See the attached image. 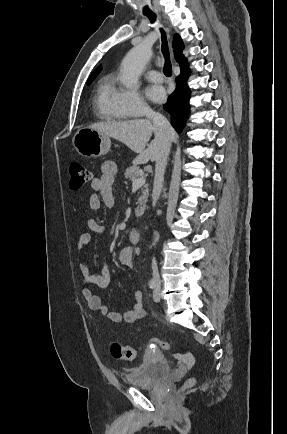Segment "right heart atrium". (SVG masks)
I'll return each instance as SVG.
<instances>
[{"mask_svg":"<svg viewBox=\"0 0 287 434\" xmlns=\"http://www.w3.org/2000/svg\"><path fill=\"white\" fill-rule=\"evenodd\" d=\"M117 109L125 116H138L150 111L147 102L136 88H119L114 96Z\"/></svg>","mask_w":287,"mask_h":434,"instance_id":"obj_1","label":"right heart atrium"}]
</instances>
